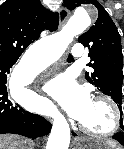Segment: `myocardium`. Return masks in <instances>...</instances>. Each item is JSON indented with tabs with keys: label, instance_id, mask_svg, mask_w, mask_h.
<instances>
[{
	"label": "myocardium",
	"instance_id": "myocardium-1",
	"mask_svg": "<svg viewBox=\"0 0 124 149\" xmlns=\"http://www.w3.org/2000/svg\"><path fill=\"white\" fill-rule=\"evenodd\" d=\"M93 100L104 102L110 107V109L112 111V116H113V125H112L111 129L104 133H98V132H95V131L87 128L80 121L78 122V127L80 128V130L82 132H84L85 134H87L91 137H94V138L105 139V138L112 137L113 135H115L118 132V130L121 126V122H122V113L120 111L119 106L116 104V102L112 98H110L109 96H106V95H98V96L94 97Z\"/></svg>",
	"mask_w": 124,
	"mask_h": 149
}]
</instances>
